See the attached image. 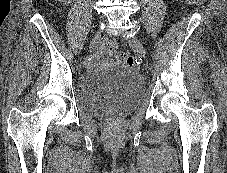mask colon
<instances>
[{"label":"colon","mask_w":227,"mask_h":173,"mask_svg":"<svg viewBox=\"0 0 227 173\" xmlns=\"http://www.w3.org/2000/svg\"><path fill=\"white\" fill-rule=\"evenodd\" d=\"M188 3L193 5H199L205 0H186ZM107 50L114 54L123 64L130 68H135L137 66L136 59L134 56L128 52L118 51V46L115 41H110L106 45Z\"/></svg>","instance_id":"colon-1"}]
</instances>
